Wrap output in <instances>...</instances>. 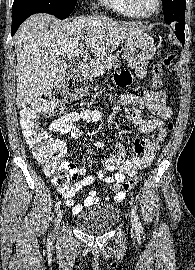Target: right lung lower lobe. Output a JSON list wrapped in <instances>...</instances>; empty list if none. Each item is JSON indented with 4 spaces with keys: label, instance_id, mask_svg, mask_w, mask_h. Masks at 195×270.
I'll list each match as a JSON object with an SVG mask.
<instances>
[{
    "label": "right lung lower lobe",
    "instance_id": "obj_1",
    "mask_svg": "<svg viewBox=\"0 0 195 270\" xmlns=\"http://www.w3.org/2000/svg\"><path fill=\"white\" fill-rule=\"evenodd\" d=\"M36 13H46V11L40 6L29 3H13L11 35L15 34L25 19Z\"/></svg>",
    "mask_w": 195,
    "mask_h": 270
}]
</instances>
